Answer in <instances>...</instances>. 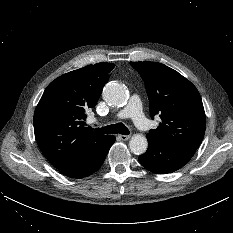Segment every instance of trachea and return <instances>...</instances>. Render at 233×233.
<instances>
[{"label":"trachea","instance_id":"obj_1","mask_svg":"<svg viewBox=\"0 0 233 233\" xmlns=\"http://www.w3.org/2000/svg\"><path fill=\"white\" fill-rule=\"evenodd\" d=\"M99 133L103 134H123V135H129V130L128 128L123 124V123H117L113 125H108L102 128H98L96 130Z\"/></svg>","mask_w":233,"mask_h":233}]
</instances>
